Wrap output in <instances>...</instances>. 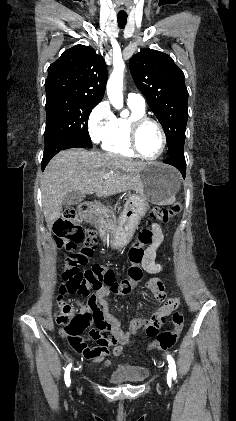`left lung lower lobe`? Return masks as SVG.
Wrapping results in <instances>:
<instances>
[{
    "label": "left lung lower lobe",
    "mask_w": 236,
    "mask_h": 421,
    "mask_svg": "<svg viewBox=\"0 0 236 421\" xmlns=\"http://www.w3.org/2000/svg\"><path fill=\"white\" fill-rule=\"evenodd\" d=\"M164 163L176 167L181 172L183 178H185L186 166L184 154L167 156V158L164 160Z\"/></svg>",
    "instance_id": "1"
}]
</instances>
